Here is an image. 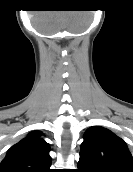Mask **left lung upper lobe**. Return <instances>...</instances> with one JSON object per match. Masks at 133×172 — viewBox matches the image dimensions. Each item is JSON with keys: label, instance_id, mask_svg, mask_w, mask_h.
Returning a JSON list of instances; mask_svg holds the SVG:
<instances>
[{"label": "left lung upper lobe", "instance_id": "1", "mask_svg": "<svg viewBox=\"0 0 133 172\" xmlns=\"http://www.w3.org/2000/svg\"><path fill=\"white\" fill-rule=\"evenodd\" d=\"M78 172H133V157L120 137L92 126L84 134Z\"/></svg>", "mask_w": 133, "mask_h": 172}]
</instances>
